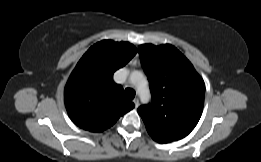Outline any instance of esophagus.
<instances>
[{
    "label": "esophagus",
    "mask_w": 261,
    "mask_h": 162,
    "mask_svg": "<svg viewBox=\"0 0 261 162\" xmlns=\"http://www.w3.org/2000/svg\"><path fill=\"white\" fill-rule=\"evenodd\" d=\"M133 103H134V105H135V108H138V106H139V99H138V98H135V99L133 100Z\"/></svg>",
    "instance_id": "esophagus-1"
}]
</instances>
